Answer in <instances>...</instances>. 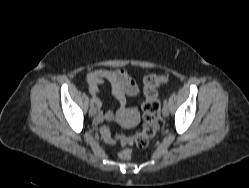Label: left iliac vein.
Listing matches in <instances>:
<instances>
[{
  "label": "left iliac vein",
  "mask_w": 249,
  "mask_h": 188,
  "mask_svg": "<svg viewBox=\"0 0 249 188\" xmlns=\"http://www.w3.org/2000/svg\"><path fill=\"white\" fill-rule=\"evenodd\" d=\"M162 115L164 117H168L169 116V109H168V106L167 105H163V108H162Z\"/></svg>",
  "instance_id": "4c4485c4"
}]
</instances>
